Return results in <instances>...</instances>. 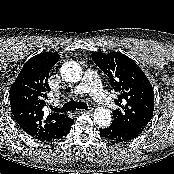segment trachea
Instances as JSON below:
<instances>
[{"label":"trachea","mask_w":174,"mask_h":174,"mask_svg":"<svg viewBox=\"0 0 174 174\" xmlns=\"http://www.w3.org/2000/svg\"><path fill=\"white\" fill-rule=\"evenodd\" d=\"M88 109V105L84 102H77L74 100H71L63 105V107L60 108H52L54 112H67V111H72L75 109Z\"/></svg>","instance_id":"3493384b"}]
</instances>
